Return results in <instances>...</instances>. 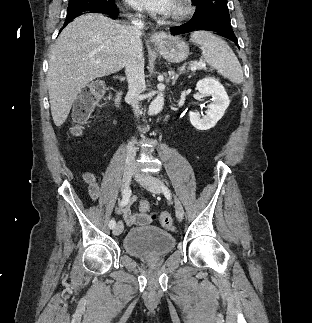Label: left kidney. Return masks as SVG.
Wrapping results in <instances>:
<instances>
[{"instance_id":"left-kidney-1","label":"left kidney","mask_w":312,"mask_h":323,"mask_svg":"<svg viewBox=\"0 0 312 323\" xmlns=\"http://www.w3.org/2000/svg\"><path fill=\"white\" fill-rule=\"evenodd\" d=\"M196 88L203 96H212V102L209 104L207 112H205L206 116L201 118L198 112H189V120L196 130H210L224 116L230 100L223 86L215 78L199 80Z\"/></svg>"}]
</instances>
